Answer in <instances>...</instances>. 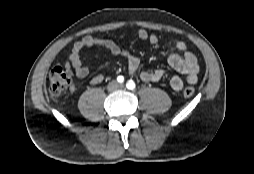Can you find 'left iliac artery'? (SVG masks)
I'll return each instance as SVG.
<instances>
[{
    "label": "left iliac artery",
    "mask_w": 254,
    "mask_h": 174,
    "mask_svg": "<svg viewBox=\"0 0 254 174\" xmlns=\"http://www.w3.org/2000/svg\"><path fill=\"white\" fill-rule=\"evenodd\" d=\"M126 87L130 90H133L135 88V83L133 80H129L126 84Z\"/></svg>",
    "instance_id": "obj_1"
}]
</instances>
